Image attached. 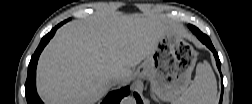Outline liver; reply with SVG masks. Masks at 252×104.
Masks as SVG:
<instances>
[{
  "mask_svg": "<svg viewBox=\"0 0 252 104\" xmlns=\"http://www.w3.org/2000/svg\"><path fill=\"white\" fill-rule=\"evenodd\" d=\"M171 28L162 16L100 15L62 26L42 52L37 90L49 104H95L114 86L113 75L127 81Z\"/></svg>",
  "mask_w": 252,
  "mask_h": 104,
  "instance_id": "6515ba94",
  "label": "liver"
}]
</instances>
